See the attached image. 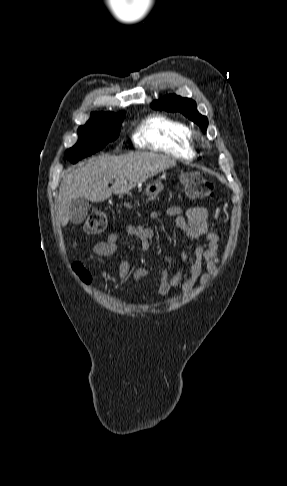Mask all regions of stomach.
I'll return each instance as SVG.
<instances>
[{
	"label": "stomach",
	"mask_w": 287,
	"mask_h": 486,
	"mask_svg": "<svg viewBox=\"0 0 287 486\" xmlns=\"http://www.w3.org/2000/svg\"><path fill=\"white\" fill-rule=\"evenodd\" d=\"M163 184L159 181L149 183L145 188L146 195L153 197L157 196L163 190Z\"/></svg>",
	"instance_id": "1"
}]
</instances>
